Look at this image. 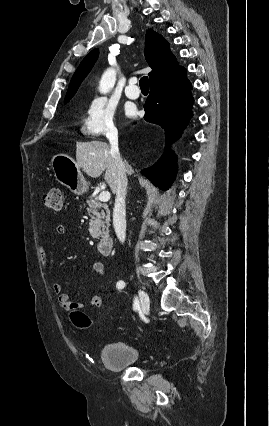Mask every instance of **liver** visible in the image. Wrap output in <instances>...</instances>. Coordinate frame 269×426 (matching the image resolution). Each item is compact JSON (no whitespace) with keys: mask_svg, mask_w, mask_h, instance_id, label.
Segmentation results:
<instances>
[{"mask_svg":"<svg viewBox=\"0 0 269 426\" xmlns=\"http://www.w3.org/2000/svg\"><path fill=\"white\" fill-rule=\"evenodd\" d=\"M76 163L87 175L99 177L104 171V179L112 193L117 187V167L110 146L102 141L78 142L76 144ZM127 172L134 171L128 165Z\"/></svg>","mask_w":269,"mask_h":426,"instance_id":"6515ba94","label":"liver"}]
</instances>
